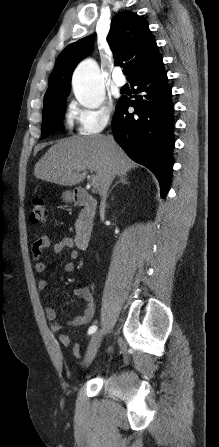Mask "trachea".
<instances>
[{"instance_id":"obj_1","label":"trachea","mask_w":219,"mask_h":447,"mask_svg":"<svg viewBox=\"0 0 219 447\" xmlns=\"http://www.w3.org/2000/svg\"><path fill=\"white\" fill-rule=\"evenodd\" d=\"M123 73H124L125 75L128 74V68H127V67H124V68H123Z\"/></svg>"}]
</instances>
